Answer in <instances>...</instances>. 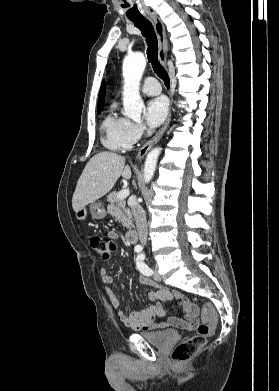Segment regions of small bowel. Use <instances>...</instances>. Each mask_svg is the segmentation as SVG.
I'll list each match as a JSON object with an SVG mask.
<instances>
[{"instance_id":"c3829d8e","label":"small bowel","mask_w":279,"mask_h":391,"mask_svg":"<svg viewBox=\"0 0 279 391\" xmlns=\"http://www.w3.org/2000/svg\"><path fill=\"white\" fill-rule=\"evenodd\" d=\"M112 239H116L118 234L114 231L108 233ZM102 282L106 288L107 295L117 310V315L120 321L126 326L134 330H154L165 328H182L187 330L195 329L199 325V311L198 308L192 304L183 294L177 291L169 290L151 280L149 277L142 276L140 281L143 284L155 287L156 291H151L148 294L150 300L166 301L176 300L182 309V317L172 316L167 320L156 321L157 318L165 316V310L161 303H156L146 309L134 311L127 315L120 308V303L113 290V278L108 274L105 268L100 269Z\"/></svg>"}]
</instances>
